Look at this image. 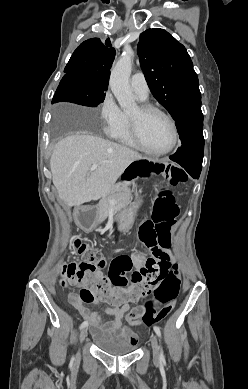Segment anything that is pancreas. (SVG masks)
<instances>
[{"label": "pancreas", "instance_id": "obj_1", "mask_svg": "<svg viewBox=\"0 0 248 389\" xmlns=\"http://www.w3.org/2000/svg\"><path fill=\"white\" fill-rule=\"evenodd\" d=\"M132 192L130 184L128 183H117L111 187L108 193L100 200L98 204V217L99 223L104 222L111 208L110 200H114L115 209L126 208L132 201Z\"/></svg>", "mask_w": 248, "mask_h": 389}]
</instances>
